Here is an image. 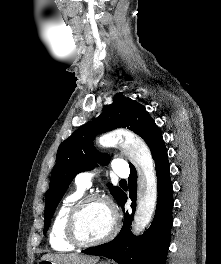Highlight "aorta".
<instances>
[{"mask_svg":"<svg viewBox=\"0 0 221 264\" xmlns=\"http://www.w3.org/2000/svg\"><path fill=\"white\" fill-rule=\"evenodd\" d=\"M99 144L102 147L119 144L139 171L137 208L132 225L133 233L139 235L150 224L157 203V178L151 152L144 142L127 134L103 135Z\"/></svg>","mask_w":221,"mask_h":264,"instance_id":"762f6f07","label":"aorta"}]
</instances>
